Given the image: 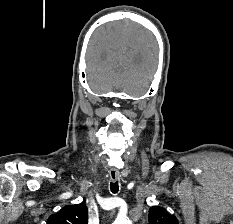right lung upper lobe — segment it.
<instances>
[{"label":"right lung upper lobe","mask_w":233,"mask_h":224,"mask_svg":"<svg viewBox=\"0 0 233 224\" xmlns=\"http://www.w3.org/2000/svg\"><path fill=\"white\" fill-rule=\"evenodd\" d=\"M47 224H88V209L83 203L65 206L51 215Z\"/></svg>","instance_id":"right-lung-upper-lobe-1"}]
</instances>
